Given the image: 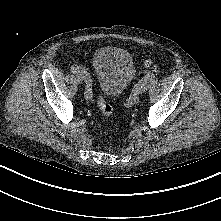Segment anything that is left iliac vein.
Returning a JSON list of instances; mask_svg holds the SVG:
<instances>
[{
    "label": "left iliac vein",
    "instance_id": "4c4485c4",
    "mask_svg": "<svg viewBox=\"0 0 221 221\" xmlns=\"http://www.w3.org/2000/svg\"><path fill=\"white\" fill-rule=\"evenodd\" d=\"M148 88H149L148 82H143L140 86V91L145 92L148 90Z\"/></svg>",
    "mask_w": 221,
    "mask_h": 221
}]
</instances>
